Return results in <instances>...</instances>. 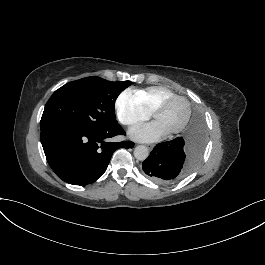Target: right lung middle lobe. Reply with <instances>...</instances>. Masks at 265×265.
Returning <instances> with one entry per match:
<instances>
[{
	"label": "right lung middle lobe",
	"instance_id": "right-lung-middle-lobe-1",
	"mask_svg": "<svg viewBox=\"0 0 265 265\" xmlns=\"http://www.w3.org/2000/svg\"><path fill=\"white\" fill-rule=\"evenodd\" d=\"M131 84V81L112 82L94 76L65 84L48 100L40 121L41 132L66 124L99 128L117 125L116 98Z\"/></svg>",
	"mask_w": 265,
	"mask_h": 265
}]
</instances>
